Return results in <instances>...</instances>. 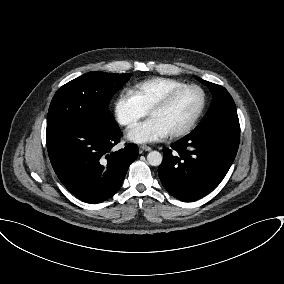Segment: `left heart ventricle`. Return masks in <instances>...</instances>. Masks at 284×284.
<instances>
[{
	"label": "left heart ventricle",
	"instance_id": "b2bd125f",
	"mask_svg": "<svg viewBox=\"0 0 284 284\" xmlns=\"http://www.w3.org/2000/svg\"><path fill=\"white\" fill-rule=\"evenodd\" d=\"M201 104V94L196 89L181 92L166 108L151 114L168 132L184 127L195 115Z\"/></svg>",
	"mask_w": 284,
	"mask_h": 284
}]
</instances>
